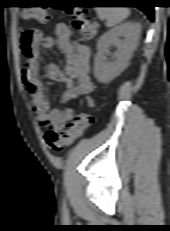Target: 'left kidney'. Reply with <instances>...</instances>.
Listing matches in <instances>:
<instances>
[{"label":"left kidney","instance_id":"1","mask_svg":"<svg viewBox=\"0 0 170 231\" xmlns=\"http://www.w3.org/2000/svg\"><path fill=\"white\" fill-rule=\"evenodd\" d=\"M140 33L139 23L126 22L110 29L99 38L94 59V75L100 83H109L127 67L138 45ZM111 45L117 47L113 62L107 61L106 58Z\"/></svg>","mask_w":170,"mask_h":231}]
</instances>
